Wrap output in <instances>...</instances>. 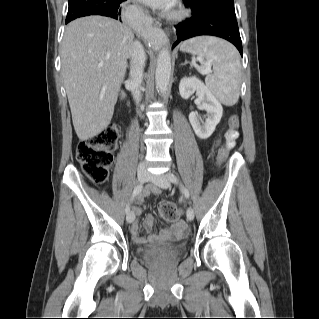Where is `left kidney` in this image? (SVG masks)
Instances as JSON below:
<instances>
[{
	"label": "left kidney",
	"mask_w": 319,
	"mask_h": 319,
	"mask_svg": "<svg viewBox=\"0 0 319 319\" xmlns=\"http://www.w3.org/2000/svg\"><path fill=\"white\" fill-rule=\"evenodd\" d=\"M179 92L184 99H188L195 92L198 95V99L201 102L200 108L207 112V119L205 122H202L199 120L197 112H191L189 114V121L199 138H209L221 120L223 114L222 105L204 83L196 77L182 78L179 84Z\"/></svg>",
	"instance_id": "left-kidney-1"
}]
</instances>
